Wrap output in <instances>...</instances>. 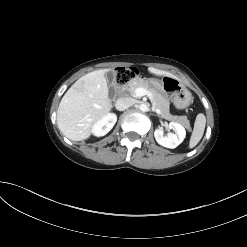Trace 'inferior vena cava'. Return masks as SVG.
I'll use <instances>...</instances> for the list:
<instances>
[{
	"mask_svg": "<svg viewBox=\"0 0 247 247\" xmlns=\"http://www.w3.org/2000/svg\"><path fill=\"white\" fill-rule=\"evenodd\" d=\"M134 104V99L130 97L118 98L115 107L119 111H123Z\"/></svg>",
	"mask_w": 247,
	"mask_h": 247,
	"instance_id": "obj_1",
	"label": "inferior vena cava"
}]
</instances>
